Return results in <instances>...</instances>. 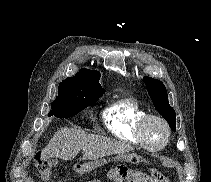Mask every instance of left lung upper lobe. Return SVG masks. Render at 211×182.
Segmentation results:
<instances>
[{
  "label": "left lung upper lobe",
  "instance_id": "1",
  "mask_svg": "<svg viewBox=\"0 0 211 182\" xmlns=\"http://www.w3.org/2000/svg\"><path fill=\"white\" fill-rule=\"evenodd\" d=\"M143 80L155 108L163 116V118L166 119L170 128L173 131H176V113L169 105L167 90L164 84L157 79L147 76H145Z\"/></svg>",
  "mask_w": 211,
  "mask_h": 182
}]
</instances>
